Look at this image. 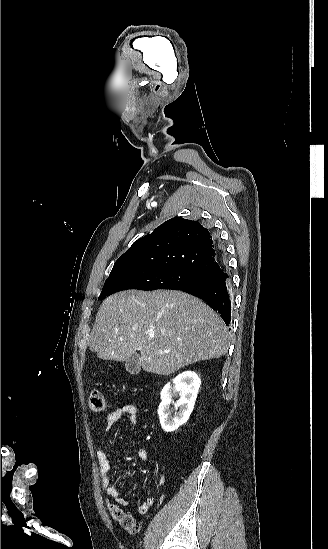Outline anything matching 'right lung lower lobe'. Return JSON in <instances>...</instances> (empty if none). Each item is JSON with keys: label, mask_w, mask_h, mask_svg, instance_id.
<instances>
[{"label": "right lung lower lobe", "mask_w": 328, "mask_h": 549, "mask_svg": "<svg viewBox=\"0 0 328 549\" xmlns=\"http://www.w3.org/2000/svg\"><path fill=\"white\" fill-rule=\"evenodd\" d=\"M215 244L218 245V253L222 256L223 250L219 242L215 239ZM230 279L226 271V267L222 265V272L215 277L206 278L194 284L182 287L179 290L195 295L203 299L210 307H212L226 325L231 321V296L229 294Z\"/></svg>", "instance_id": "1"}]
</instances>
